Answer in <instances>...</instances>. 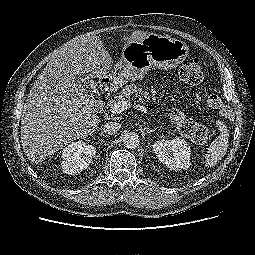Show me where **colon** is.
Instances as JSON below:
<instances>
[{"mask_svg":"<svg viewBox=\"0 0 255 255\" xmlns=\"http://www.w3.org/2000/svg\"><path fill=\"white\" fill-rule=\"evenodd\" d=\"M202 79L203 73L199 58H193L179 71V82L182 85H197ZM208 104L210 106H218L220 98L213 94L208 98ZM171 118L183 136L192 139L196 143H205L208 140V130L203 125L189 120L179 107L172 109Z\"/></svg>","mask_w":255,"mask_h":255,"instance_id":"5ec220e1","label":"colon"}]
</instances>
